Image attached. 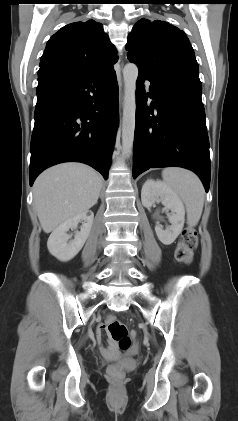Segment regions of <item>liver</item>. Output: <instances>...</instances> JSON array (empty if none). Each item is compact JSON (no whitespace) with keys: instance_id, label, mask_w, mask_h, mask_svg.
<instances>
[{"instance_id":"6515ba94","label":"liver","mask_w":238,"mask_h":421,"mask_svg":"<svg viewBox=\"0 0 238 421\" xmlns=\"http://www.w3.org/2000/svg\"><path fill=\"white\" fill-rule=\"evenodd\" d=\"M102 188L101 176L81 163L53 166L36 179L34 205L45 233L64 221L88 211L97 203Z\"/></svg>"}]
</instances>
